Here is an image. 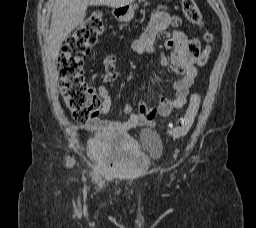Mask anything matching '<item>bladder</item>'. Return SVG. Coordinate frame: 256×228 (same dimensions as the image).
<instances>
[{
  "label": "bladder",
  "mask_w": 256,
  "mask_h": 228,
  "mask_svg": "<svg viewBox=\"0 0 256 228\" xmlns=\"http://www.w3.org/2000/svg\"><path fill=\"white\" fill-rule=\"evenodd\" d=\"M163 153L160 135L152 129L141 132L137 142L126 135L102 134L89 145L94 168L102 174L133 175L143 171Z\"/></svg>",
  "instance_id": "31cf9c89"
}]
</instances>
